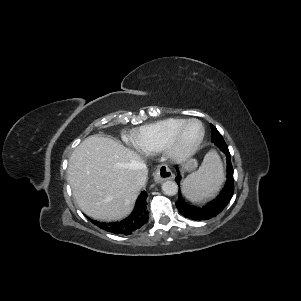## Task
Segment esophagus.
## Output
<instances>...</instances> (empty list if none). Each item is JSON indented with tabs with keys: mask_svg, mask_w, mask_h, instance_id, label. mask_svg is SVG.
Returning a JSON list of instances; mask_svg holds the SVG:
<instances>
[{
	"mask_svg": "<svg viewBox=\"0 0 301 301\" xmlns=\"http://www.w3.org/2000/svg\"><path fill=\"white\" fill-rule=\"evenodd\" d=\"M174 174L166 164H161L158 166L156 171L154 172V181L156 183H161L167 179H172Z\"/></svg>",
	"mask_w": 301,
	"mask_h": 301,
	"instance_id": "obj_1",
	"label": "esophagus"
}]
</instances>
